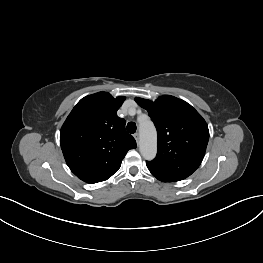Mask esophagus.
Instances as JSON below:
<instances>
[{
	"mask_svg": "<svg viewBox=\"0 0 263 263\" xmlns=\"http://www.w3.org/2000/svg\"><path fill=\"white\" fill-rule=\"evenodd\" d=\"M134 138H135L136 142L139 143V133H135Z\"/></svg>",
	"mask_w": 263,
	"mask_h": 263,
	"instance_id": "obj_1",
	"label": "esophagus"
}]
</instances>
